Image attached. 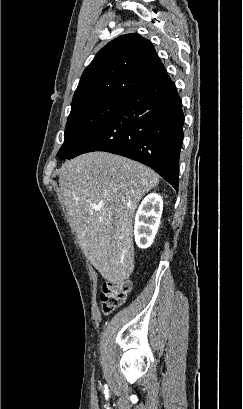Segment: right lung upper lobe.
<instances>
[{
  "label": "right lung upper lobe",
  "mask_w": 243,
  "mask_h": 409,
  "mask_svg": "<svg viewBox=\"0 0 243 409\" xmlns=\"http://www.w3.org/2000/svg\"><path fill=\"white\" fill-rule=\"evenodd\" d=\"M166 75L149 40L139 34L122 35L105 45L84 70L72 104L101 98L126 99Z\"/></svg>",
  "instance_id": "right-lung-upper-lobe-1"
}]
</instances>
